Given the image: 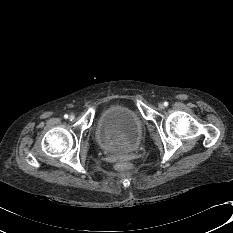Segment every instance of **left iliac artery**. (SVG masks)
I'll use <instances>...</instances> for the list:
<instances>
[{"label":"left iliac artery","mask_w":233,"mask_h":233,"mask_svg":"<svg viewBox=\"0 0 233 233\" xmlns=\"http://www.w3.org/2000/svg\"><path fill=\"white\" fill-rule=\"evenodd\" d=\"M164 105H165V106H168V102L165 101V102H164Z\"/></svg>","instance_id":"obj_1"}]
</instances>
